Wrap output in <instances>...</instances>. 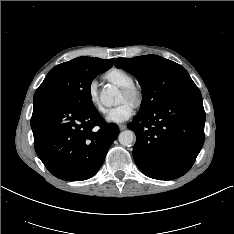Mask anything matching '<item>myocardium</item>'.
<instances>
[{"mask_svg": "<svg viewBox=\"0 0 234 234\" xmlns=\"http://www.w3.org/2000/svg\"><path fill=\"white\" fill-rule=\"evenodd\" d=\"M121 93L123 94L125 100L135 107L140 106V104L142 103V90L134 84L121 88Z\"/></svg>", "mask_w": 234, "mask_h": 234, "instance_id": "1", "label": "myocardium"}]
</instances>
